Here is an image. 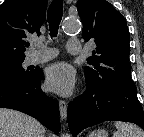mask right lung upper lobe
I'll return each instance as SVG.
<instances>
[{
    "instance_id": "cb5924a9",
    "label": "right lung upper lobe",
    "mask_w": 144,
    "mask_h": 137,
    "mask_svg": "<svg viewBox=\"0 0 144 137\" xmlns=\"http://www.w3.org/2000/svg\"><path fill=\"white\" fill-rule=\"evenodd\" d=\"M48 0H6L0 6V68L24 60L26 37L40 35Z\"/></svg>"
}]
</instances>
